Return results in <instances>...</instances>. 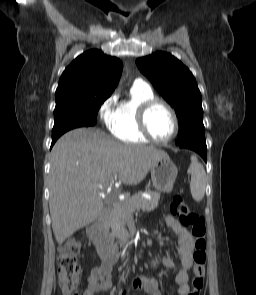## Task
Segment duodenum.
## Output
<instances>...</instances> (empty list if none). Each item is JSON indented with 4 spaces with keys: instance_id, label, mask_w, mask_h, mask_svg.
Here are the masks:
<instances>
[{
    "instance_id": "duodenum-1",
    "label": "duodenum",
    "mask_w": 256,
    "mask_h": 295,
    "mask_svg": "<svg viewBox=\"0 0 256 295\" xmlns=\"http://www.w3.org/2000/svg\"><path fill=\"white\" fill-rule=\"evenodd\" d=\"M109 219V211L107 209H103L98 216L97 220L91 224L87 229V235L93 244L98 248L101 252L103 260L108 261L114 255L116 250L112 249L106 237L105 226ZM133 242H129L126 244V247H131Z\"/></svg>"
}]
</instances>
